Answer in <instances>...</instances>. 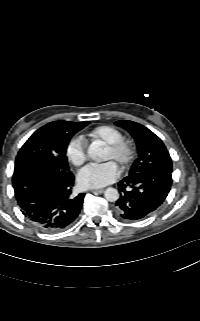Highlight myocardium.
I'll return each instance as SVG.
<instances>
[{"label":"myocardium","mask_w":200,"mask_h":321,"mask_svg":"<svg viewBox=\"0 0 200 321\" xmlns=\"http://www.w3.org/2000/svg\"><path fill=\"white\" fill-rule=\"evenodd\" d=\"M107 149L114 155L120 156L118 164L121 168L130 166L135 158L136 149L134 144L128 139H119L107 145Z\"/></svg>","instance_id":"myocardium-1"}]
</instances>
